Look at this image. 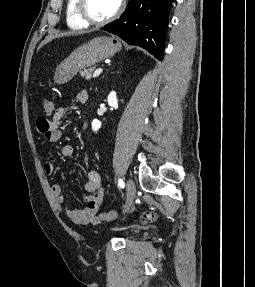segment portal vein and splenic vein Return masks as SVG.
Returning <instances> with one entry per match:
<instances>
[{
	"instance_id": "portal-vein-and-splenic-vein-1",
	"label": "portal vein and splenic vein",
	"mask_w": 255,
	"mask_h": 287,
	"mask_svg": "<svg viewBox=\"0 0 255 287\" xmlns=\"http://www.w3.org/2000/svg\"><path fill=\"white\" fill-rule=\"evenodd\" d=\"M103 70L102 68H98V70H96V72H94L92 78H97V76H100V74H102Z\"/></svg>"
}]
</instances>
